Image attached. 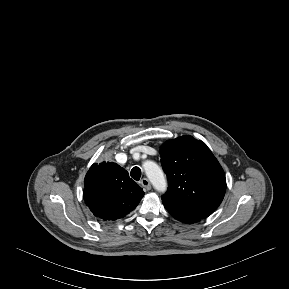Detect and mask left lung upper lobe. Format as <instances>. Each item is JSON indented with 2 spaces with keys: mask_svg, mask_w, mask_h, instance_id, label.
<instances>
[{
  "mask_svg": "<svg viewBox=\"0 0 289 289\" xmlns=\"http://www.w3.org/2000/svg\"><path fill=\"white\" fill-rule=\"evenodd\" d=\"M160 155L168 179L165 208L202 219L212 214L224 198L226 178L207 145L185 135L164 143Z\"/></svg>",
  "mask_w": 289,
  "mask_h": 289,
  "instance_id": "obj_1",
  "label": "left lung upper lobe"
}]
</instances>
